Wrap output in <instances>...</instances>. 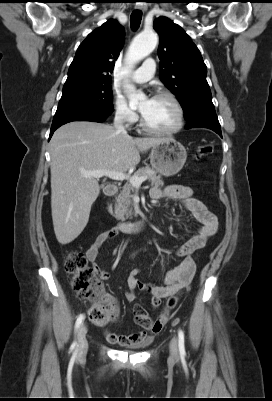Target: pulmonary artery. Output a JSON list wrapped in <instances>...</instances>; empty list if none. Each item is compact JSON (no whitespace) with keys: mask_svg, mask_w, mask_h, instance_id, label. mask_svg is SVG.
Masks as SVG:
<instances>
[{"mask_svg":"<svg viewBox=\"0 0 272 401\" xmlns=\"http://www.w3.org/2000/svg\"><path fill=\"white\" fill-rule=\"evenodd\" d=\"M155 73V62L153 59H147L144 61L142 67L137 69L132 74V79L137 83H144L149 81Z\"/></svg>","mask_w":272,"mask_h":401,"instance_id":"obj_1","label":"pulmonary artery"}]
</instances>
